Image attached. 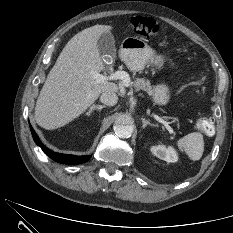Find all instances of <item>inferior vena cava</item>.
I'll use <instances>...</instances> for the list:
<instances>
[{"mask_svg":"<svg viewBox=\"0 0 233 233\" xmlns=\"http://www.w3.org/2000/svg\"><path fill=\"white\" fill-rule=\"evenodd\" d=\"M100 101L107 106H114L118 102V96L113 91H105L100 96Z\"/></svg>","mask_w":233,"mask_h":233,"instance_id":"obj_1","label":"inferior vena cava"}]
</instances>
